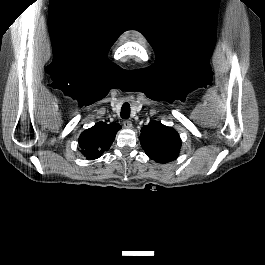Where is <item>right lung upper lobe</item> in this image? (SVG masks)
Wrapping results in <instances>:
<instances>
[{"instance_id": "1", "label": "right lung upper lobe", "mask_w": 265, "mask_h": 265, "mask_svg": "<svg viewBox=\"0 0 265 265\" xmlns=\"http://www.w3.org/2000/svg\"><path fill=\"white\" fill-rule=\"evenodd\" d=\"M119 129L121 126L118 123L101 121L82 132L78 139L82 154L89 160L99 158L110 148Z\"/></svg>"}]
</instances>
